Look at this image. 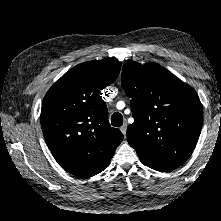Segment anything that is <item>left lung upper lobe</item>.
Returning <instances> with one entry per match:
<instances>
[{
  "label": "left lung upper lobe",
  "instance_id": "1",
  "mask_svg": "<svg viewBox=\"0 0 221 221\" xmlns=\"http://www.w3.org/2000/svg\"><path fill=\"white\" fill-rule=\"evenodd\" d=\"M121 84L134 117L127 128L130 146L140 159L181 166L194 151L203 122L195 90L157 63L126 61Z\"/></svg>",
  "mask_w": 221,
  "mask_h": 221
}]
</instances>
